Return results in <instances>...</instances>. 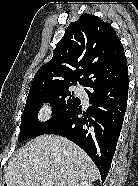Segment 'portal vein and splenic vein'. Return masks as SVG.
<instances>
[{"label":"portal vein and splenic vein","instance_id":"obj_1","mask_svg":"<svg viewBox=\"0 0 138 186\" xmlns=\"http://www.w3.org/2000/svg\"><path fill=\"white\" fill-rule=\"evenodd\" d=\"M42 186H47V185H45V184H42Z\"/></svg>","mask_w":138,"mask_h":186}]
</instances>
